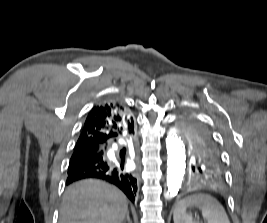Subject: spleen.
<instances>
[{
	"mask_svg": "<svg viewBox=\"0 0 267 223\" xmlns=\"http://www.w3.org/2000/svg\"><path fill=\"white\" fill-rule=\"evenodd\" d=\"M197 205L207 223H230L223 206L212 196L196 194L184 198L174 208V223H193L192 217L186 213V208Z\"/></svg>",
	"mask_w": 267,
	"mask_h": 223,
	"instance_id": "3e777b00",
	"label": "spleen"
}]
</instances>
